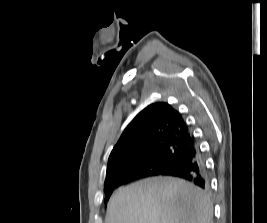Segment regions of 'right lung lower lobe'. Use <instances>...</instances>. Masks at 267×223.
Returning <instances> with one entry per match:
<instances>
[{"instance_id": "right-lung-lower-lobe-1", "label": "right lung lower lobe", "mask_w": 267, "mask_h": 223, "mask_svg": "<svg viewBox=\"0 0 267 223\" xmlns=\"http://www.w3.org/2000/svg\"><path fill=\"white\" fill-rule=\"evenodd\" d=\"M158 175L182 178L194 183L202 189L208 186L204 160L199 148L194 142V144L184 150V153L175 163L165 171L154 174L146 171L134 170L118 174L105 181L104 191L106 194L112 193L118 186L132 180Z\"/></svg>"}]
</instances>
